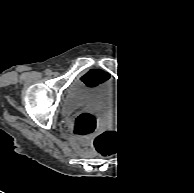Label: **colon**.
I'll return each instance as SVG.
<instances>
[{
	"mask_svg": "<svg viewBox=\"0 0 194 193\" xmlns=\"http://www.w3.org/2000/svg\"><path fill=\"white\" fill-rule=\"evenodd\" d=\"M81 125L84 129L87 128V120L82 119ZM94 143L102 153H111L116 152L123 147L125 144V138L120 132L107 131L97 136Z\"/></svg>",
	"mask_w": 194,
	"mask_h": 193,
	"instance_id": "colon-1",
	"label": "colon"
}]
</instances>
